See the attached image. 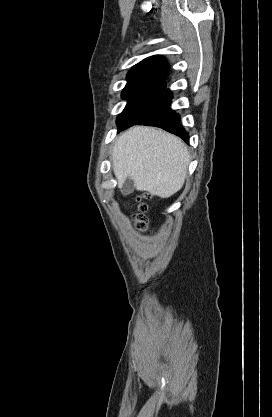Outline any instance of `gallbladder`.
<instances>
[{
  "instance_id": "bac80fb5",
  "label": "gallbladder",
  "mask_w": 272,
  "mask_h": 417,
  "mask_svg": "<svg viewBox=\"0 0 272 417\" xmlns=\"http://www.w3.org/2000/svg\"><path fill=\"white\" fill-rule=\"evenodd\" d=\"M134 188H135L134 181L131 178H126L121 187V192L123 194H130L133 192Z\"/></svg>"
}]
</instances>
